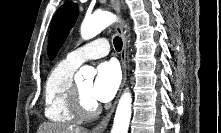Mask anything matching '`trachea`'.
Returning a JSON list of instances; mask_svg holds the SVG:
<instances>
[{"instance_id":"obj_1","label":"trachea","mask_w":221,"mask_h":133,"mask_svg":"<svg viewBox=\"0 0 221 133\" xmlns=\"http://www.w3.org/2000/svg\"><path fill=\"white\" fill-rule=\"evenodd\" d=\"M114 47L117 51H121L122 49V39L120 37H115L113 40Z\"/></svg>"}]
</instances>
